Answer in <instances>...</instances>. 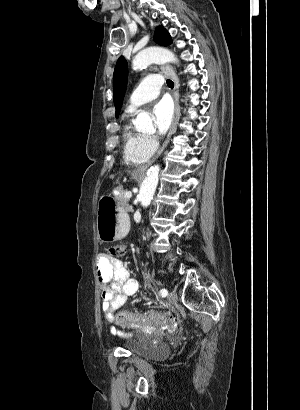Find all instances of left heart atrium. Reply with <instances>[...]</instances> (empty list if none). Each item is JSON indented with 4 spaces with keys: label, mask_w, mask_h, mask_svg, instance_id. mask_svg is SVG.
I'll use <instances>...</instances> for the list:
<instances>
[{
    "label": "left heart atrium",
    "mask_w": 300,
    "mask_h": 410,
    "mask_svg": "<svg viewBox=\"0 0 300 410\" xmlns=\"http://www.w3.org/2000/svg\"><path fill=\"white\" fill-rule=\"evenodd\" d=\"M153 116L157 133L164 135L169 130L173 120L172 104L167 99L158 101L153 106Z\"/></svg>",
    "instance_id": "1"
}]
</instances>
